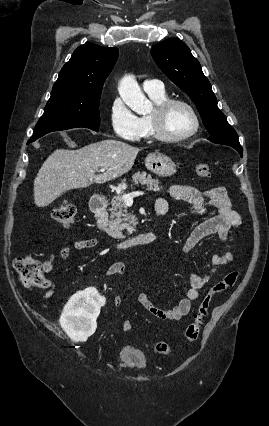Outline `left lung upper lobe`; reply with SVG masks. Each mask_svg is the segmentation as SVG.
<instances>
[{"label":"left lung upper lobe","instance_id":"1","mask_svg":"<svg viewBox=\"0 0 269 426\" xmlns=\"http://www.w3.org/2000/svg\"><path fill=\"white\" fill-rule=\"evenodd\" d=\"M158 67L195 103L213 143L241 146L234 128L217 106L211 84L203 74L199 61L188 46L179 39L170 38L151 49Z\"/></svg>","mask_w":269,"mask_h":426}]
</instances>
